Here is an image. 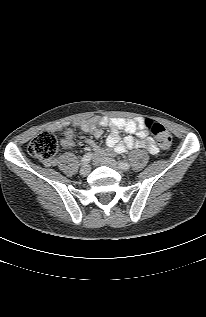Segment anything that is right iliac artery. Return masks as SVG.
<instances>
[{
	"label": "right iliac artery",
	"mask_w": 206,
	"mask_h": 317,
	"mask_svg": "<svg viewBox=\"0 0 206 317\" xmlns=\"http://www.w3.org/2000/svg\"><path fill=\"white\" fill-rule=\"evenodd\" d=\"M92 157H93L92 153H86L81 160L82 164L84 165L88 164L91 161Z\"/></svg>",
	"instance_id": "right-iliac-artery-1"
}]
</instances>
